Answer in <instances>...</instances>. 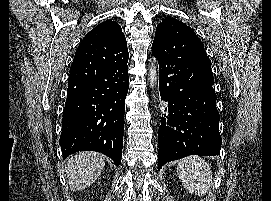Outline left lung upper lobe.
<instances>
[{
    "mask_svg": "<svg viewBox=\"0 0 271 201\" xmlns=\"http://www.w3.org/2000/svg\"><path fill=\"white\" fill-rule=\"evenodd\" d=\"M179 28H186L193 36L194 47L198 50L199 61L205 71L206 79L211 84H214V77L211 71V61L204 50L203 43L197 37L194 31L183 22L172 17H165L156 28V34L152 45H162L165 41L172 39L176 36Z\"/></svg>",
    "mask_w": 271,
    "mask_h": 201,
    "instance_id": "left-lung-upper-lobe-1",
    "label": "left lung upper lobe"
}]
</instances>
